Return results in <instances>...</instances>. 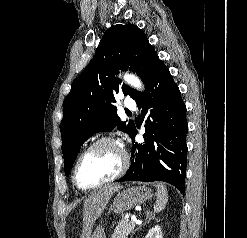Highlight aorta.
<instances>
[{"label": "aorta", "mask_w": 247, "mask_h": 238, "mask_svg": "<svg viewBox=\"0 0 247 238\" xmlns=\"http://www.w3.org/2000/svg\"><path fill=\"white\" fill-rule=\"evenodd\" d=\"M124 80L126 81V83L136 89L141 90L143 88L141 81L133 75H125Z\"/></svg>", "instance_id": "1"}]
</instances>
